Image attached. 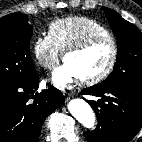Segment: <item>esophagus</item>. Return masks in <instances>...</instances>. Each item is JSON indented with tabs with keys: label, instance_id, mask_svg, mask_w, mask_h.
<instances>
[{
	"label": "esophagus",
	"instance_id": "obj_1",
	"mask_svg": "<svg viewBox=\"0 0 142 142\" xmlns=\"http://www.w3.org/2000/svg\"><path fill=\"white\" fill-rule=\"evenodd\" d=\"M63 95H64L66 101H68L72 98V95L68 92L63 93Z\"/></svg>",
	"mask_w": 142,
	"mask_h": 142
}]
</instances>
